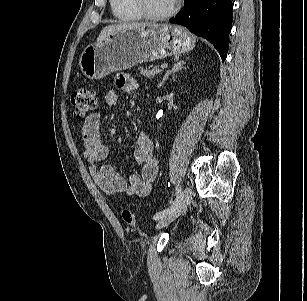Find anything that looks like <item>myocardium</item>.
<instances>
[{
	"label": "myocardium",
	"mask_w": 307,
	"mask_h": 301,
	"mask_svg": "<svg viewBox=\"0 0 307 301\" xmlns=\"http://www.w3.org/2000/svg\"><path fill=\"white\" fill-rule=\"evenodd\" d=\"M133 2V5L135 7V9L138 11V13L148 19V20H152V21H160V20H165L168 19L170 17H172L173 15L176 14V12L179 10L180 7V0H174V3L172 5V7L164 12V13H152L146 6L145 4V0H131Z\"/></svg>",
	"instance_id": "obj_1"
}]
</instances>
